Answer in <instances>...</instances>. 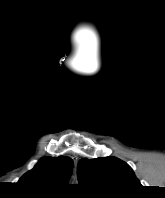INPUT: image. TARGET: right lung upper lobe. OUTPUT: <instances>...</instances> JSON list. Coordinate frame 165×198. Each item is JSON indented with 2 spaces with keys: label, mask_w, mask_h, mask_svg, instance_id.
I'll return each instance as SVG.
<instances>
[{
  "label": "right lung upper lobe",
  "mask_w": 165,
  "mask_h": 198,
  "mask_svg": "<svg viewBox=\"0 0 165 198\" xmlns=\"http://www.w3.org/2000/svg\"><path fill=\"white\" fill-rule=\"evenodd\" d=\"M72 168L73 160L69 157H44L32 170L21 177L19 182L31 188H55L65 185L70 179Z\"/></svg>",
  "instance_id": "1"
}]
</instances>
